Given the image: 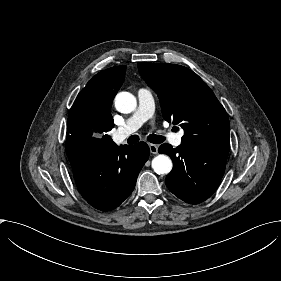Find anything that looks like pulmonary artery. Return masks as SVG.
<instances>
[{"label":"pulmonary artery","instance_id":"pulmonary-artery-1","mask_svg":"<svg viewBox=\"0 0 281 281\" xmlns=\"http://www.w3.org/2000/svg\"><path fill=\"white\" fill-rule=\"evenodd\" d=\"M139 104L135 109L133 115L126 120L124 124L119 126L114 134L113 141L120 145L124 140L133 134L146 120H148L154 112V102L151 92L147 89L138 90ZM183 133L180 131L170 136V142L174 146H179L182 143Z\"/></svg>","mask_w":281,"mask_h":281}]
</instances>
